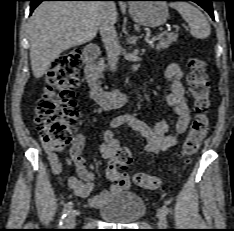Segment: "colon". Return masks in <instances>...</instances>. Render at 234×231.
I'll return each instance as SVG.
<instances>
[{"mask_svg": "<svg viewBox=\"0 0 234 231\" xmlns=\"http://www.w3.org/2000/svg\"><path fill=\"white\" fill-rule=\"evenodd\" d=\"M82 64V52L72 48L59 55L46 74L47 86L38 101L36 125L45 141L53 150L59 152L72 140L71 128L79 118V109L73 101L79 84V70ZM188 86L194 101L196 115L181 149V157L187 161L199 149L209 127L211 109L210 85L203 61L192 59L189 62ZM118 163L126 170L132 162V152L120 148ZM135 185L146 189H156L161 185L158 176L135 173L132 177Z\"/></svg>", "mask_w": 234, "mask_h": 231, "instance_id": "1", "label": "colon"}]
</instances>
